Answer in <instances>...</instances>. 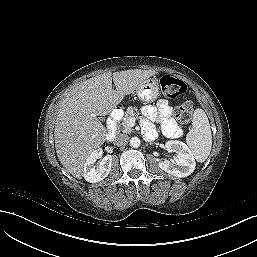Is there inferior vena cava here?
I'll use <instances>...</instances> for the list:
<instances>
[{
  "mask_svg": "<svg viewBox=\"0 0 257 257\" xmlns=\"http://www.w3.org/2000/svg\"><path fill=\"white\" fill-rule=\"evenodd\" d=\"M129 137L126 134H119L113 140V144L117 146H125L128 143Z\"/></svg>",
  "mask_w": 257,
  "mask_h": 257,
  "instance_id": "1",
  "label": "inferior vena cava"
}]
</instances>
